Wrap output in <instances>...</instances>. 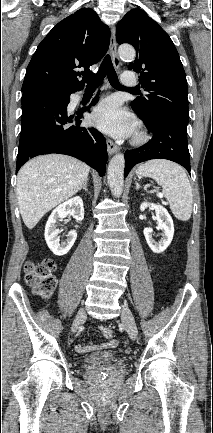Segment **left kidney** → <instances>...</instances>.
I'll return each mask as SVG.
<instances>
[{
	"mask_svg": "<svg viewBox=\"0 0 213 433\" xmlns=\"http://www.w3.org/2000/svg\"><path fill=\"white\" fill-rule=\"evenodd\" d=\"M147 207H150L156 212V219L158 223L159 229L162 230V238L157 243L152 238V229L144 228V236L150 247V249L154 253H162L170 244L174 235V224L171 216L168 211L161 205L143 202L140 206V210L144 211Z\"/></svg>",
	"mask_w": 213,
	"mask_h": 433,
	"instance_id": "1",
	"label": "left kidney"
}]
</instances>
